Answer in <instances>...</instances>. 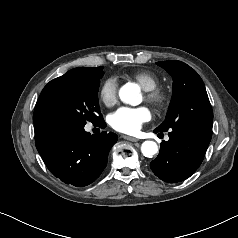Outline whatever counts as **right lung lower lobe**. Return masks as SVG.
I'll list each match as a JSON object with an SVG mask.
<instances>
[{
    "label": "right lung lower lobe",
    "instance_id": "obj_1",
    "mask_svg": "<svg viewBox=\"0 0 238 238\" xmlns=\"http://www.w3.org/2000/svg\"><path fill=\"white\" fill-rule=\"evenodd\" d=\"M99 125H106L102 119ZM85 125L59 122L35 128V144L49 171L66 184L77 187L95 181L107 165L117 135H91Z\"/></svg>",
    "mask_w": 238,
    "mask_h": 238
}]
</instances>
